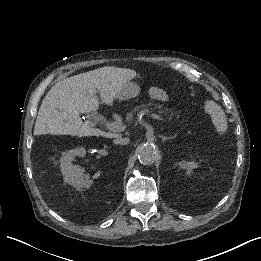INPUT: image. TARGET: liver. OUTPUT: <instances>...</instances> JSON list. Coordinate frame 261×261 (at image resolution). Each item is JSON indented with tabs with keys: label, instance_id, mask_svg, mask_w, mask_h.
Instances as JSON below:
<instances>
[{
	"label": "liver",
	"instance_id": "liver-1",
	"mask_svg": "<svg viewBox=\"0 0 261 261\" xmlns=\"http://www.w3.org/2000/svg\"><path fill=\"white\" fill-rule=\"evenodd\" d=\"M135 77L134 70L101 68L57 82L42 101L34 135L117 136L89 126L82 121L80 114L99 109L97 92L103 103L110 104L122 86Z\"/></svg>",
	"mask_w": 261,
	"mask_h": 261
}]
</instances>
